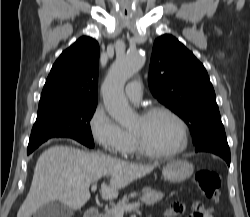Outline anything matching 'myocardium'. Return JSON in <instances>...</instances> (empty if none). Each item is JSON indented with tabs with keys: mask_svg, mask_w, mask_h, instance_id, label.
<instances>
[{
	"mask_svg": "<svg viewBox=\"0 0 250 217\" xmlns=\"http://www.w3.org/2000/svg\"><path fill=\"white\" fill-rule=\"evenodd\" d=\"M156 113H165L169 115L171 118H173L176 123L178 124L180 131H181V141L180 144L173 150L168 152H158L153 149H151L143 140L142 138L137 135L136 133L131 131V135L133 137L135 146L137 148V151L145 156L156 158V159H168L172 158L181 152H183L187 145L189 140V130L186 122L183 120V118L176 113L171 108L165 106V105H152L147 108H145L141 114L140 117L143 119H146L150 117L153 114Z\"/></svg>",
	"mask_w": 250,
	"mask_h": 217,
	"instance_id": "1",
	"label": "myocardium"
}]
</instances>
